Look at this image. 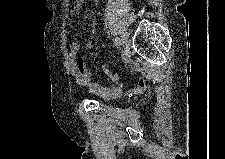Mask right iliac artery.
<instances>
[{
	"label": "right iliac artery",
	"instance_id": "82829eb1",
	"mask_svg": "<svg viewBox=\"0 0 225 159\" xmlns=\"http://www.w3.org/2000/svg\"><path fill=\"white\" fill-rule=\"evenodd\" d=\"M114 44H115L116 46H120V45H121V40H120L119 37H116V38L114 39Z\"/></svg>",
	"mask_w": 225,
	"mask_h": 159
}]
</instances>
